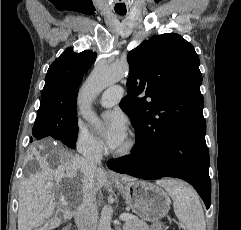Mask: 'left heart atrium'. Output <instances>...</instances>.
Returning a JSON list of instances; mask_svg holds the SVG:
<instances>
[{
	"mask_svg": "<svg viewBox=\"0 0 241 230\" xmlns=\"http://www.w3.org/2000/svg\"><path fill=\"white\" fill-rule=\"evenodd\" d=\"M106 125L103 129V138L111 149L119 148L126 140L128 122L124 114L119 111L108 112L104 116Z\"/></svg>",
	"mask_w": 241,
	"mask_h": 230,
	"instance_id": "1",
	"label": "left heart atrium"
}]
</instances>
